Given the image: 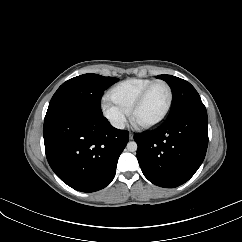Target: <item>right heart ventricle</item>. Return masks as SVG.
Listing matches in <instances>:
<instances>
[{
	"mask_svg": "<svg viewBox=\"0 0 242 242\" xmlns=\"http://www.w3.org/2000/svg\"><path fill=\"white\" fill-rule=\"evenodd\" d=\"M154 80L149 78H130L115 85L109 92L110 99L130 112L140 93Z\"/></svg>",
	"mask_w": 242,
	"mask_h": 242,
	"instance_id": "1",
	"label": "right heart ventricle"
}]
</instances>
